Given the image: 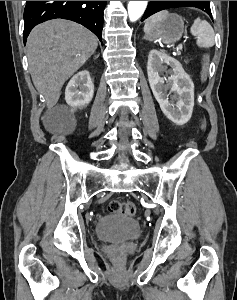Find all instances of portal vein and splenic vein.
I'll use <instances>...</instances> for the list:
<instances>
[{
    "label": "portal vein and splenic vein",
    "mask_w": 237,
    "mask_h": 300,
    "mask_svg": "<svg viewBox=\"0 0 237 300\" xmlns=\"http://www.w3.org/2000/svg\"><path fill=\"white\" fill-rule=\"evenodd\" d=\"M179 48L181 49V51H184V48H182V42H179Z\"/></svg>",
    "instance_id": "portal-vein-and-splenic-vein-1"
}]
</instances>
